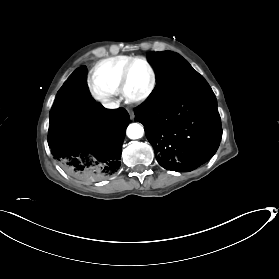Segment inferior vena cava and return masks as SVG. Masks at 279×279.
Masks as SVG:
<instances>
[{
    "instance_id": "obj_1",
    "label": "inferior vena cava",
    "mask_w": 279,
    "mask_h": 279,
    "mask_svg": "<svg viewBox=\"0 0 279 279\" xmlns=\"http://www.w3.org/2000/svg\"><path fill=\"white\" fill-rule=\"evenodd\" d=\"M107 101H110V100L104 99V102H105V104H103L104 107L110 108V109L118 108V101H116L117 103H114V102L106 103Z\"/></svg>"
}]
</instances>
